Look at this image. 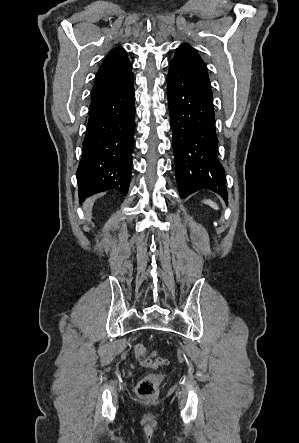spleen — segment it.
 <instances>
[{
  "mask_svg": "<svg viewBox=\"0 0 299 443\" xmlns=\"http://www.w3.org/2000/svg\"><path fill=\"white\" fill-rule=\"evenodd\" d=\"M203 202L205 204L209 205L210 207H212L215 210L219 209L218 205L215 202H213L212 200H210V199L204 200Z\"/></svg>",
  "mask_w": 299,
  "mask_h": 443,
  "instance_id": "obj_1",
  "label": "spleen"
}]
</instances>
